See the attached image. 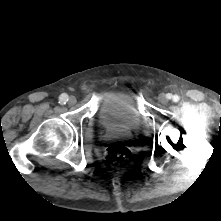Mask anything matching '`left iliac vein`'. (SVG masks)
<instances>
[{"label":"left iliac vein","mask_w":221,"mask_h":221,"mask_svg":"<svg viewBox=\"0 0 221 221\" xmlns=\"http://www.w3.org/2000/svg\"><path fill=\"white\" fill-rule=\"evenodd\" d=\"M158 100L162 104H166L168 102V98H167V96L164 93L159 95Z\"/></svg>","instance_id":"4c4485c4"}]
</instances>
